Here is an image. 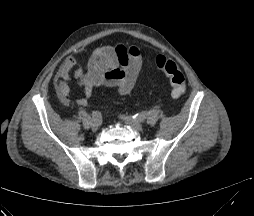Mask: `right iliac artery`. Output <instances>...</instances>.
I'll list each match as a JSON object with an SVG mask.
<instances>
[{"mask_svg":"<svg viewBox=\"0 0 254 216\" xmlns=\"http://www.w3.org/2000/svg\"><path fill=\"white\" fill-rule=\"evenodd\" d=\"M91 116L94 121L100 122L102 120V114L99 111H93Z\"/></svg>","mask_w":254,"mask_h":216,"instance_id":"obj_1","label":"right iliac artery"}]
</instances>
